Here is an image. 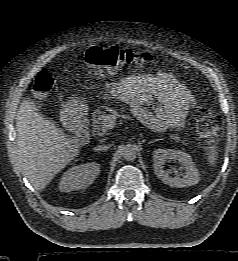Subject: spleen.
<instances>
[{"label":"spleen","instance_id":"3e777b00","mask_svg":"<svg viewBox=\"0 0 238 261\" xmlns=\"http://www.w3.org/2000/svg\"><path fill=\"white\" fill-rule=\"evenodd\" d=\"M207 155H208L207 159L209 164L214 165L217 158V152L214 149H211L210 151H208Z\"/></svg>","mask_w":238,"mask_h":261}]
</instances>
